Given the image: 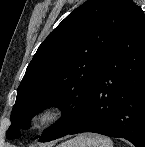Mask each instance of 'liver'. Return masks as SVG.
I'll list each match as a JSON object with an SVG mask.
<instances>
[{"label":"liver","mask_w":145,"mask_h":147,"mask_svg":"<svg viewBox=\"0 0 145 147\" xmlns=\"http://www.w3.org/2000/svg\"><path fill=\"white\" fill-rule=\"evenodd\" d=\"M69 141L66 143L61 144L59 147H66V145H68Z\"/></svg>","instance_id":"6515ba94"}]
</instances>
